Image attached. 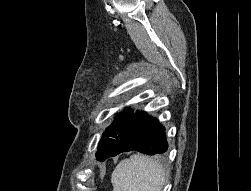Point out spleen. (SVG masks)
<instances>
[{
  "label": "spleen",
  "instance_id": "spleen-1",
  "mask_svg": "<svg viewBox=\"0 0 251 191\" xmlns=\"http://www.w3.org/2000/svg\"><path fill=\"white\" fill-rule=\"evenodd\" d=\"M162 165L141 153H133L129 159H121L112 175L113 191H161L165 181Z\"/></svg>",
  "mask_w": 251,
  "mask_h": 191
}]
</instances>
